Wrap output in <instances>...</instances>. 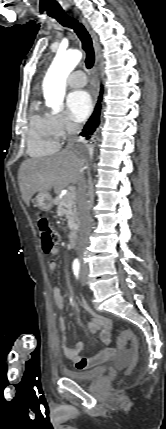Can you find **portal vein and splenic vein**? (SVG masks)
I'll list each match as a JSON object with an SVG mask.
<instances>
[{
	"label": "portal vein and splenic vein",
	"instance_id": "1",
	"mask_svg": "<svg viewBox=\"0 0 166 429\" xmlns=\"http://www.w3.org/2000/svg\"><path fill=\"white\" fill-rule=\"evenodd\" d=\"M66 196H67L68 199L73 198V195L71 193H67Z\"/></svg>",
	"mask_w": 166,
	"mask_h": 429
}]
</instances>
